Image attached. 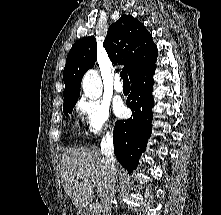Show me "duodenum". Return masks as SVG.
I'll return each mask as SVG.
<instances>
[{
	"mask_svg": "<svg viewBox=\"0 0 221 215\" xmlns=\"http://www.w3.org/2000/svg\"><path fill=\"white\" fill-rule=\"evenodd\" d=\"M80 215H85V214L83 212H81Z\"/></svg>",
	"mask_w": 221,
	"mask_h": 215,
	"instance_id": "410a0bca",
	"label": "duodenum"
}]
</instances>
